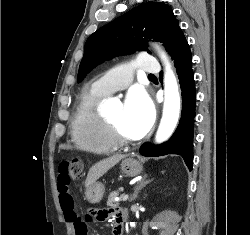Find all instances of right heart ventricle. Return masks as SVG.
<instances>
[{
    "label": "right heart ventricle",
    "instance_id": "e07e8e85",
    "mask_svg": "<svg viewBox=\"0 0 250 235\" xmlns=\"http://www.w3.org/2000/svg\"><path fill=\"white\" fill-rule=\"evenodd\" d=\"M107 94L92 87L79 99L74 111L71 133L78 149L88 153L105 154L117 149L99 106Z\"/></svg>",
    "mask_w": 250,
    "mask_h": 235
}]
</instances>
